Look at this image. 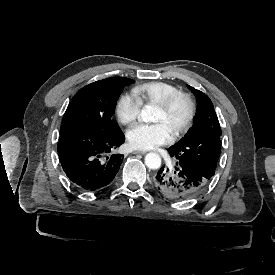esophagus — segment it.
<instances>
[{
  "instance_id": "1",
  "label": "esophagus",
  "mask_w": 275,
  "mask_h": 275,
  "mask_svg": "<svg viewBox=\"0 0 275 275\" xmlns=\"http://www.w3.org/2000/svg\"><path fill=\"white\" fill-rule=\"evenodd\" d=\"M145 153H146V151H141V150H134L132 152V154H145Z\"/></svg>"
}]
</instances>
